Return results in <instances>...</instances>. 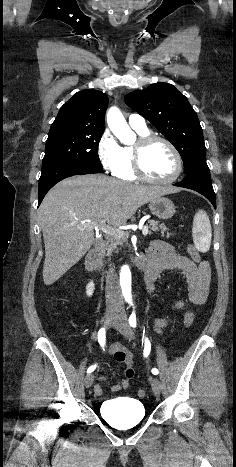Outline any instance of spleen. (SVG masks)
I'll return each mask as SVG.
<instances>
[{"label": "spleen", "mask_w": 236, "mask_h": 467, "mask_svg": "<svg viewBox=\"0 0 236 467\" xmlns=\"http://www.w3.org/2000/svg\"><path fill=\"white\" fill-rule=\"evenodd\" d=\"M193 242L200 252L210 249L212 230L208 215L203 210L198 211L193 219L192 228Z\"/></svg>", "instance_id": "spleen-1"}]
</instances>
